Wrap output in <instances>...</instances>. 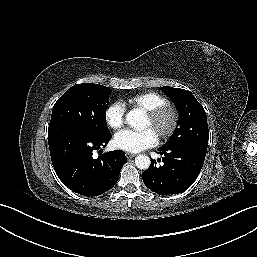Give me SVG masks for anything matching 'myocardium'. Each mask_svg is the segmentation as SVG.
<instances>
[{
  "label": "myocardium",
  "instance_id": "f54148a6",
  "mask_svg": "<svg viewBox=\"0 0 257 257\" xmlns=\"http://www.w3.org/2000/svg\"><path fill=\"white\" fill-rule=\"evenodd\" d=\"M147 118L150 120L153 127L158 129L157 135L160 138L170 137L177 128L179 114L176 107L169 102L146 112ZM167 121L164 127L161 124Z\"/></svg>",
  "mask_w": 257,
  "mask_h": 257
}]
</instances>
